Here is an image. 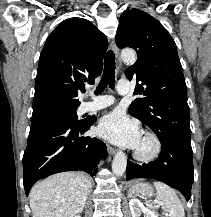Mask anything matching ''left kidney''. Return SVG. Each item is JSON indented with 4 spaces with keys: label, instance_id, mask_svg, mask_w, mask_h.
Returning <instances> with one entry per match:
<instances>
[{
    "label": "left kidney",
    "instance_id": "5707ae66",
    "mask_svg": "<svg viewBox=\"0 0 211 217\" xmlns=\"http://www.w3.org/2000/svg\"><path fill=\"white\" fill-rule=\"evenodd\" d=\"M129 207L132 217H140L141 212L144 213V217H158L151 210L146 208L137 198H132L129 201Z\"/></svg>",
    "mask_w": 211,
    "mask_h": 217
}]
</instances>
